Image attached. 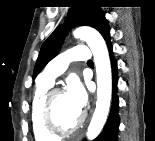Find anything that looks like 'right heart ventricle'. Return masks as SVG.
<instances>
[{
    "label": "right heart ventricle",
    "instance_id": "e07e8e85",
    "mask_svg": "<svg viewBox=\"0 0 155 141\" xmlns=\"http://www.w3.org/2000/svg\"><path fill=\"white\" fill-rule=\"evenodd\" d=\"M51 83L39 82L34 92L31 105V126L37 141H53L57 136L50 134L41 122V106L46 93L50 90Z\"/></svg>",
    "mask_w": 155,
    "mask_h": 141
}]
</instances>
